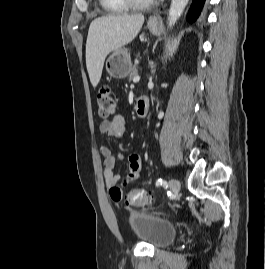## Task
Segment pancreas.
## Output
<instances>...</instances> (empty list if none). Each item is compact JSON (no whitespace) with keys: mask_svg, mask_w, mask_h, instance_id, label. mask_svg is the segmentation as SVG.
Instances as JSON below:
<instances>
[{"mask_svg":"<svg viewBox=\"0 0 265 269\" xmlns=\"http://www.w3.org/2000/svg\"><path fill=\"white\" fill-rule=\"evenodd\" d=\"M138 75V67L135 64L129 74V80H132L134 77H136Z\"/></svg>","mask_w":265,"mask_h":269,"instance_id":"cf45deb5","label":"pancreas"}]
</instances>
